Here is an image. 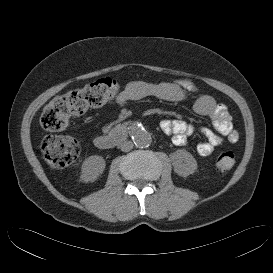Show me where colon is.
<instances>
[{
  "instance_id": "1",
  "label": "colon",
  "mask_w": 273,
  "mask_h": 273,
  "mask_svg": "<svg viewBox=\"0 0 273 273\" xmlns=\"http://www.w3.org/2000/svg\"><path fill=\"white\" fill-rule=\"evenodd\" d=\"M122 85L112 78L100 79L83 88L68 92L51 101L42 111L41 126L51 132L63 130L72 116L81 115L90 108L103 106L121 93ZM42 154L48 165L62 169L71 165L80 154L79 143L69 136H51L42 141ZM235 163L233 152H222L216 167L229 170Z\"/></svg>"
}]
</instances>
